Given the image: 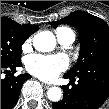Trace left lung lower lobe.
Wrapping results in <instances>:
<instances>
[{
  "instance_id": "1",
  "label": "left lung lower lobe",
  "mask_w": 109,
  "mask_h": 109,
  "mask_svg": "<svg viewBox=\"0 0 109 109\" xmlns=\"http://www.w3.org/2000/svg\"><path fill=\"white\" fill-rule=\"evenodd\" d=\"M64 77L72 87H62L63 99L52 104L54 109H99L109 96V63L92 64L79 74Z\"/></svg>"
}]
</instances>
